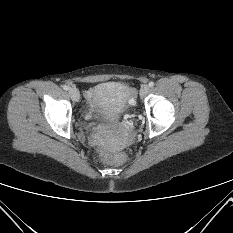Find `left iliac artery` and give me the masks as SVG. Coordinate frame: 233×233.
Masks as SVG:
<instances>
[{"label":"left iliac artery","mask_w":233,"mask_h":233,"mask_svg":"<svg viewBox=\"0 0 233 233\" xmlns=\"http://www.w3.org/2000/svg\"><path fill=\"white\" fill-rule=\"evenodd\" d=\"M153 86H154V82L153 81L149 82V87H153Z\"/></svg>","instance_id":"left-iliac-artery-1"}]
</instances>
